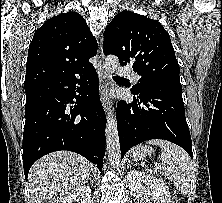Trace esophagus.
<instances>
[{
	"instance_id": "1",
	"label": "esophagus",
	"mask_w": 222,
	"mask_h": 203,
	"mask_svg": "<svg viewBox=\"0 0 222 203\" xmlns=\"http://www.w3.org/2000/svg\"><path fill=\"white\" fill-rule=\"evenodd\" d=\"M103 35L99 38V49L97 53V59H98V75L100 79V97L102 105L106 112L112 113V110H110L109 102L107 100V76L104 66V55H103Z\"/></svg>"
}]
</instances>
